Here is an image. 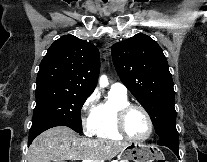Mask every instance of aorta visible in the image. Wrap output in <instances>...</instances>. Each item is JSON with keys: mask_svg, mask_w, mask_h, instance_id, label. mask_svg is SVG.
Listing matches in <instances>:
<instances>
[{"mask_svg": "<svg viewBox=\"0 0 207 162\" xmlns=\"http://www.w3.org/2000/svg\"><path fill=\"white\" fill-rule=\"evenodd\" d=\"M99 85H100V87H106L107 85H108V78H107V76L106 75H102V76H100V78H99Z\"/></svg>", "mask_w": 207, "mask_h": 162, "instance_id": "obj_1", "label": "aorta"}]
</instances>
